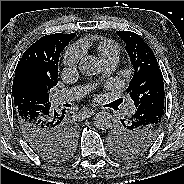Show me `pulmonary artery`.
I'll list each match as a JSON object with an SVG mask.
<instances>
[{"label":"pulmonary artery","instance_id":"pulmonary-artery-1","mask_svg":"<svg viewBox=\"0 0 184 184\" xmlns=\"http://www.w3.org/2000/svg\"><path fill=\"white\" fill-rule=\"evenodd\" d=\"M118 61L117 60H109L104 62L105 69L107 72L113 71L115 67L117 66ZM85 93V89L83 88H67V89H62L57 91L53 95V103L55 105H60L66 102H71L74 101L81 96H83ZM136 108L133 104H128L127 105V113L128 114H133L135 112Z\"/></svg>","mask_w":184,"mask_h":184}]
</instances>
